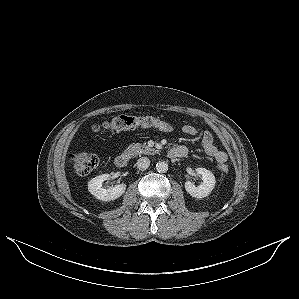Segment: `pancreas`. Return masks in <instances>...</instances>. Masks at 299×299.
<instances>
[{
    "mask_svg": "<svg viewBox=\"0 0 299 299\" xmlns=\"http://www.w3.org/2000/svg\"><path fill=\"white\" fill-rule=\"evenodd\" d=\"M155 152V149L148 147L146 144L140 143H132L128 146L125 150V153L129 154L130 156H138V155H150Z\"/></svg>",
    "mask_w": 299,
    "mask_h": 299,
    "instance_id": "obj_1",
    "label": "pancreas"
}]
</instances>
